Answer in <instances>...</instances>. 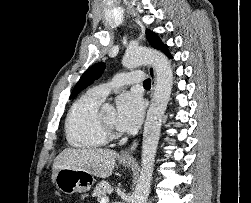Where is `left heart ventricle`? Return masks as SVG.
Listing matches in <instances>:
<instances>
[{"label":"left heart ventricle","instance_id":"1","mask_svg":"<svg viewBox=\"0 0 251 203\" xmlns=\"http://www.w3.org/2000/svg\"><path fill=\"white\" fill-rule=\"evenodd\" d=\"M104 121L116 128V113L114 110L108 111L102 115Z\"/></svg>","mask_w":251,"mask_h":203}]
</instances>
